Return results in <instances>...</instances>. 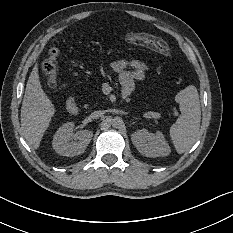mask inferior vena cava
<instances>
[{"label":"inferior vena cava","mask_w":233,"mask_h":233,"mask_svg":"<svg viewBox=\"0 0 233 233\" xmlns=\"http://www.w3.org/2000/svg\"><path fill=\"white\" fill-rule=\"evenodd\" d=\"M105 114L104 110H95L91 113V117L94 119L100 118L101 116H103Z\"/></svg>","instance_id":"inferior-vena-cava-1"}]
</instances>
